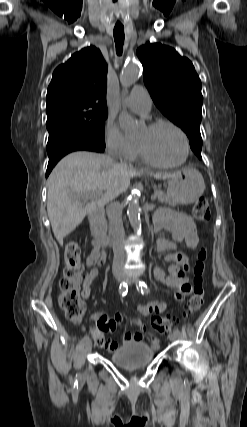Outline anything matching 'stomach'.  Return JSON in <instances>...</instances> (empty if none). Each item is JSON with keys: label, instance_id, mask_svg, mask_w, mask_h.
<instances>
[{"label": "stomach", "instance_id": "obj_1", "mask_svg": "<svg viewBox=\"0 0 247 427\" xmlns=\"http://www.w3.org/2000/svg\"><path fill=\"white\" fill-rule=\"evenodd\" d=\"M204 190L202 174L194 168H184L169 178L167 196L176 204L189 205L194 203Z\"/></svg>", "mask_w": 247, "mask_h": 427}]
</instances>
